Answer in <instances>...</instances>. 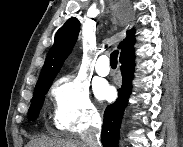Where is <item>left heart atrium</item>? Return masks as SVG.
Returning <instances> with one entry per match:
<instances>
[{
    "mask_svg": "<svg viewBox=\"0 0 183 147\" xmlns=\"http://www.w3.org/2000/svg\"><path fill=\"white\" fill-rule=\"evenodd\" d=\"M95 95L98 99H108L112 94V88L105 81H99L94 87Z\"/></svg>",
    "mask_w": 183,
    "mask_h": 147,
    "instance_id": "left-heart-atrium-1",
    "label": "left heart atrium"
}]
</instances>
